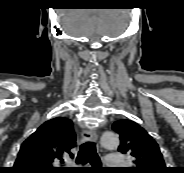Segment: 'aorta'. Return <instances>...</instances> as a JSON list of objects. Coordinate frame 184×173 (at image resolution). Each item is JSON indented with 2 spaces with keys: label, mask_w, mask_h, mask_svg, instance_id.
<instances>
[{
  "label": "aorta",
  "mask_w": 184,
  "mask_h": 173,
  "mask_svg": "<svg viewBox=\"0 0 184 173\" xmlns=\"http://www.w3.org/2000/svg\"><path fill=\"white\" fill-rule=\"evenodd\" d=\"M101 144L104 148L115 149L119 145V138L114 132H105L101 136Z\"/></svg>",
  "instance_id": "762f6f07"
}]
</instances>
